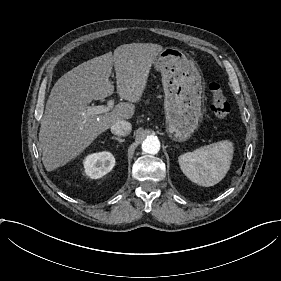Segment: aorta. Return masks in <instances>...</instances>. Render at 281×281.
<instances>
[{
  "mask_svg": "<svg viewBox=\"0 0 281 281\" xmlns=\"http://www.w3.org/2000/svg\"><path fill=\"white\" fill-rule=\"evenodd\" d=\"M142 150L145 153L149 154H157L160 150V142L157 137H147L143 142H142Z\"/></svg>",
  "mask_w": 281,
  "mask_h": 281,
  "instance_id": "1",
  "label": "aorta"
}]
</instances>
